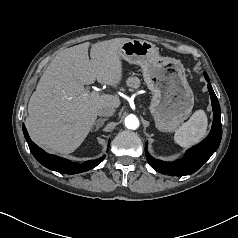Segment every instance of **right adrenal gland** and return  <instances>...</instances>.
<instances>
[{
    "mask_svg": "<svg viewBox=\"0 0 238 238\" xmlns=\"http://www.w3.org/2000/svg\"><path fill=\"white\" fill-rule=\"evenodd\" d=\"M108 118H101V119H98L95 123H94V126H95V131H97L100 127H102L104 125V122L107 121Z\"/></svg>",
    "mask_w": 238,
    "mask_h": 238,
    "instance_id": "obj_1",
    "label": "right adrenal gland"
}]
</instances>
